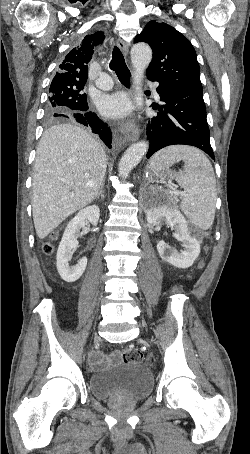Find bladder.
<instances>
[{"label": "bladder", "mask_w": 250, "mask_h": 454, "mask_svg": "<svg viewBox=\"0 0 250 454\" xmlns=\"http://www.w3.org/2000/svg\"><path fill=\"white\" fill-rule=\"evenodd\" d=\"M88 387L101 401H141L152 393L153 376L146 366L124 361L93 373L88 379Z\"/></svg>", "instance_id": "obj_1"}]
</instances>
